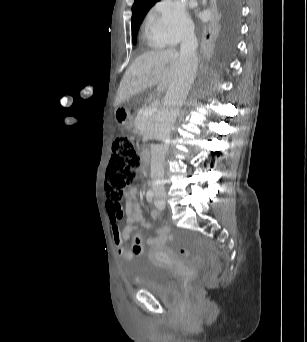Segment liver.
<instances>
[{
  "instance_id": "6515ba94",
  "label": "liver",
  "mask_w": 307,
  "mask_h": 342,
  "mask_svg": "<svg viewBox=\"0 0 307 342\" xmlns=\"http://www.w3.org/2000/svg\"><path fill=\"white\" fill-rule=\"evenodd\" d=\"M178 64V52L175 48L144 52L126 70L120 82L115 106L157 84L158 92H165L175 78Z\"/></svg>"
}]
</instances>
